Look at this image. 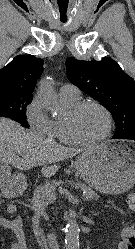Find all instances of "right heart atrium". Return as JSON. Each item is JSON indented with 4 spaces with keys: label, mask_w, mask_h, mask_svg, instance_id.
<instances>
[{
    "label": "right heart atrium",
    "mask_w": 135,
    "mask_h": 249,
    "mask_svg": "<svg viewBox=\"0 0 135 249\" xmlns=\"http://www.w3.org/2000/svg\"><path fill=\"white\" fill-rule=\"evenodd\" d=\"M26 120L30 127L40 135H49L52 120L45 112V105L42 98L37 95L26 108Z\"/></svg>",
    "instance_id": "d8ad5b80"
}]
</instances>
